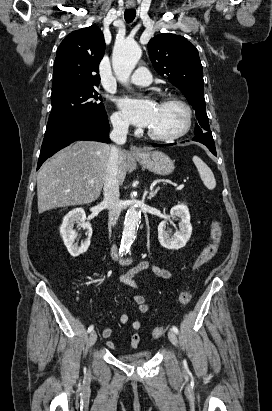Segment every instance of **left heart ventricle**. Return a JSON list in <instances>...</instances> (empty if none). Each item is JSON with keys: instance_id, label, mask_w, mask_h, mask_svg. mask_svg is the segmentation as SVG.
Returning <instances> with one entry per match:
<instances>
[{"instance_id": "b2bd125f", "label": "left heart ventricle", "mask_w": 272, "mask_h": 411, "mask_svg": "<svg viewBox=\"0 0 272 411\" xmlns=\"http://www.w3.org/2000/svg\"><path fill=\"white\" fill-rule=\"evenodd\" d=\"M184 124L185 113L180 106L161 102L149 128L160 135H171L180 131Z\"/></svg>"}]
</instances>
